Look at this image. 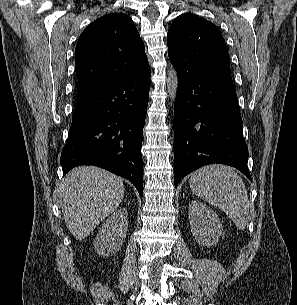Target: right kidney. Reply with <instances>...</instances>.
<instances>
[{
	"label": "right kidney",
	"instance_id": "1",
	"mask_svg": "<svg viewBox=\"0 0 297 305\" xmlns=\"http://www.w3.org/2000/svg\"><path fill=\"white\" fill-rule=\"evenodd\" d=\"M127 217V210L120 208L105 221L94 240L98 254L109 256L119 251L127 234Z\"/></svg>",
	"mask_w": 297,
	"mask_h": 305
}]
</instances>
